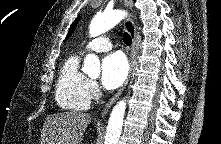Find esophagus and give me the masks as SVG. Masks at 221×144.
<instances>
[{"instance_id":"34e87169","label":"esophagus","mask_w":221,"mask_h":144,"mask_svg":"<svg viewBox=\"0 0 221 144\" xmlns=\"http://www.w3.org/2000/svg\"><path fill=\"white\" fill-rule=\"evenodd\" d=\"M123 1H124V5L127 8V10L132 13L133 12L132 0H123ZM124 26L132 38V46H131V52H130V57H129L130 69H129L128 76H127L125 82L123 83V85L121 86V88L117 91L116 94H114V96L107 102L106 106L104 107L102 114H101L102 118L105 117L108 109L116 102V100L119 98V96L122 94V92L126 88L128 82L130 80V77L132 75L133 68H134V61H135V57H136V48H137V39H136V27L133 22L131 14L126 18V20L124 22Z\"/></svg>"}]
</instances>
